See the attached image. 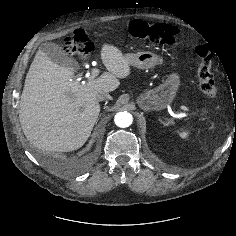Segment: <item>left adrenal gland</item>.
I'll return each mask as SVG.
<instances>
[{
  "mask_svg": "<svg viewBox=\"0 0 236 236\" xmlns=\"http://www.w3.org/2000/svg\"><path fill=\"white\" fill-rule=\"evenodd\" d=\"M159 120L163 123V124H165V125H168V124H170V123H173V121L172 120H169V119H166V122H164L162 119H160L159 118Z\"/></svg>",
  "mask_w": 236,
  "mask_h": 236,
  "instance_id": "1",
  "label": "left adrenal gland"
}]
</instances>
